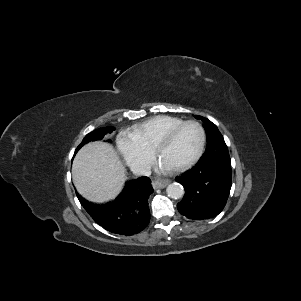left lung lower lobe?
I'll use <instances>...</instances> for the list:
<instances>
[{"label":"left lung lower lobe","mask_w":301,"mask_h":301,"mask_svg":"<svg viewBox=\"0 0 301 301\" xmlns=\"http://www.w3.org/2000/svg\"><path fill=\"white\" fill-rule=\"evenodd\" d=\"M231 162H197L189 171L175 178L185 194L178 211L189 219L204 220L217 216L225 207L232 185Z\"/></svg>","instance_id":"left-lung-lower-lobe-1"}]
</instances>
